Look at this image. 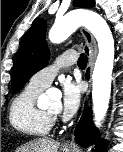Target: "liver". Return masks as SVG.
Returning a JSON list of instances; mask_svg holds the SVG:
<instances>
[{
    "instance_id": "1",
    "label": "liver",
    "mask_w": 123,
    "mask_h": 152,
    "mask_svg": "<svg viewBox=\"0 0 123 152\" xmlns=\"http://www.w3.org/2000/svg\"><path fill=\"white\" fill-rule=\"evenodd\" d=\"M59 143L50 138H40L18 148L16 152H57Z\"/></svg>"
}]
</instances>
